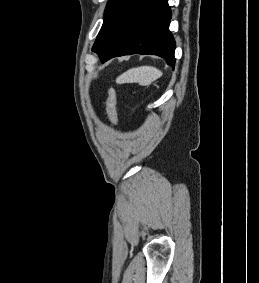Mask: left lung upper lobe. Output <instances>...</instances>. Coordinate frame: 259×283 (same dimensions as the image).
I'll return each mask as SVG.
<instances>
[{
    "mask_svg": "<svg viewBox=\"0 0 259 283\" xmlns=\"http://www.w3.org/2000/svg\"><path fill=\"white\" fill-rule=\"evenodd\" d=\"M123 1L124 0H109L108 1L107 7L105 9V14H104V22H103L102 28L96 40L102 35L105 28L107 27V25L109 24V22L111 21V19L113 18V16L115 15L116 11L120 7V5L123 3Z\"/></svg>",
    "mask_w": 259,
    "mask_h": 283,
    "instance_id": "obj_1",
    "label": "left lung upper lobe"
}]
</instances>
